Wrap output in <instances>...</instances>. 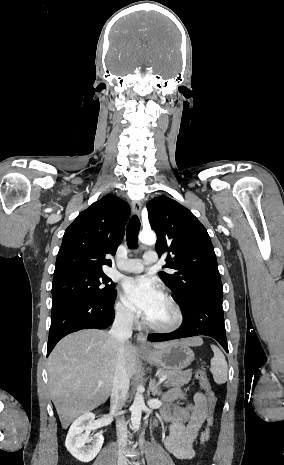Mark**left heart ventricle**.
Segmentation results:
<instances>
[{"label": "left heart ventricle", "instance_id": "b2bd125f", "mask_svg": "<svg viewBox=\"0 0 284 465\" xmlns=\"http://www.w3.org/2000/svg\"><path fill=\"white\" fill-rule=\"evenodd\" d=\"M147 319L151 324L156 326H166L173 322L174 315L166 300L161 298L158 305Z\"/></svg>", "mask_w": 284, "mask_h": 465}]
</instances>
